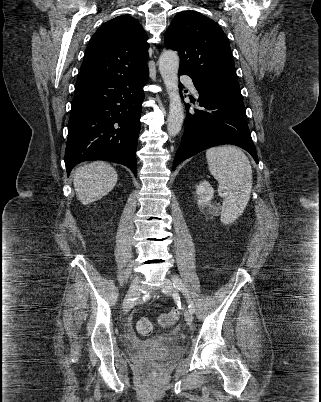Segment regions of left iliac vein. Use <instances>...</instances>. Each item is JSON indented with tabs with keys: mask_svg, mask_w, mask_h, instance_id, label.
Instances as JSON below:
<instances>
[{
	"mask_svg": "<svg viewBox=\"0 0 321 402\" xmlns=\"http://www.w3.org/2000/svg\"><path fill=\"white\" fill-rule=\"evenodd\" d=\"M161 289L166 295H171L174 292L173 283L169 279H165ZM184 317L189 324L193 322V313L190 310L184 312Z\"/></svg>",
	"mask_w": 321,
	"mask_h": 402,
	"instance_id": "obj_1",
	"label": "left iliac vein"
}]
</instances>
